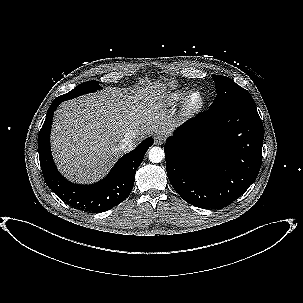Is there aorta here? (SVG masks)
<instances>
[{"mask_svg":"<svg viewBox=\"0 0 303 303\" xmlns=\"http://www.w3.org/2000/svg\"><path fill=\"white\" fill-rule=\"evenodd\" d=\"M165 158V153L160 147H152L149 150V160L152 163H160Z\"/></svg>","mask_w":303,"mask_h":303,"instance_id":"obj_1","label":"aorta"}]
</instances>
